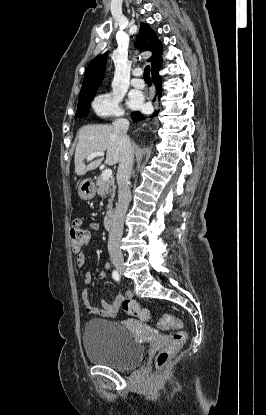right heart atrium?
Segmentation results:
<instances>
[{
    "mask_svg": "<svg viewBox=\"0 0 266 415\" xmlns=\"http://www.w3.org/2000/svg\"><path fill=\"white\" fill-rule=\"evenodd\" d=\"M92 108L97 115L102 117H117L123 114L120 96L112 92L97 96L92 103Z\"/></svg>",
    "mask_w": 266,
    "mask_h": 415,
    "instance_id": "1",
    "label": "right heart atrium"
}]
</instances>
